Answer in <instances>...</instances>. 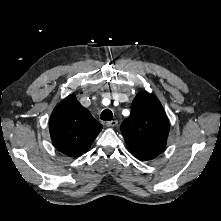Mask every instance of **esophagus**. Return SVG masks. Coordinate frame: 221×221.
<instances>
[{"mask_svg": "<svg viewBox=\"0 0 221 221\" xmlns=\"http://www.w3.org/2000/svg\"><path fill=\"white\" fill-rule=\"evenodd\" d=\"M118 124V121L117 120H112V121H108L107 123H106V126L107 127H114V126H116Z\"/></svg>", "mask_w": 221, "mask_h": 221, "instance_id": "esophagus-1", "label": "esophagus"}]
</instances>
